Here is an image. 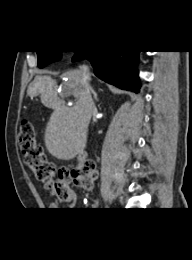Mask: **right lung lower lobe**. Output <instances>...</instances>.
I'll return each instance as SVG.
<instances>
[{"label": "right lung lower lobe", "instance_id": "right-lung-lower-lobe-1", "mask_svg": "<svg viewBox=\"0 0 192 260\" xmlns=\"http://www.w3.org/2000/svg\"><path fill=\"white\" fill-rule=\"evenodd\" d=\"M140 51H77L72 61L90 60L100 79L121 89L138 93L140 80L136 70Z\"/></svg>", "mask_w": 192, "mask_h": 260}]
</instances>
